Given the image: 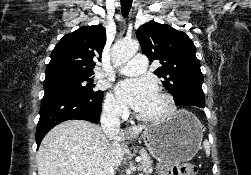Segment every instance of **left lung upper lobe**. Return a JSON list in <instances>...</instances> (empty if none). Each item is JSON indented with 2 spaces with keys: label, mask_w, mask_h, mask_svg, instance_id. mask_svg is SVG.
<instances>
[{
  "label": "left lung upper lobe",
  "mask_w": 251,
  "mask_h": 175,
  "mask_svg": "<svg viewBox=\"0 0 251 175\" xmlns=\"http://www.w3.org/2000/svg\"><path fill=\"white\" fill-rule=\"evenodd\" d=\"M136 36L143 53L161 67L154 73L174 100L183 98L204 102L203 74L196 57V47L187 34L166 24L150 21L138 28Z\"/></svg>",
  "instance_id": "1"
}]
</instances>
